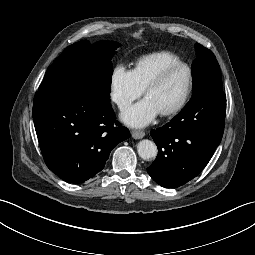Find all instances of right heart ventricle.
<instances>
[{"label": "right heart ventricle", "mask_w": 255, "mask_h": 255, "mask_svg": "<svg viewBox=\"0 0 255 255\" xmlns=\"http://www.w3.org/2000/svg\"><path fill=\"white\" fill-rule=\"evenodd\" d=\"M178 60L179 57L170 51L153 52L140 57L132 71L144 88L165 65Z\"/></svg>", "instance_id": "obj_1"}]
</instances>
